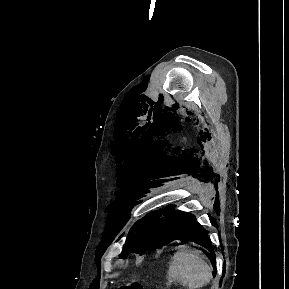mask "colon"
Returning a JSON list of instances; mask_svg holds the SVG:
<instances>
[{"label": "colon", "mask_w": 289, "mask_h": 289, "mask_svg": "<svg viewBox=\"0 0 289 289\" xmlns=\"http://www.w3.org/2000/svg\"><path fill=\"white\" fill-rule=\"evenodd\" d=\"M125 286L120 287L119 289H125ZM128 289H143V286L139 282H131L127 285Z\"/></svg>", "instance_id": "1"}]
</instances>
